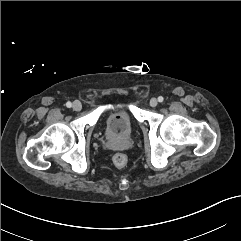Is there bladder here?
Returning a JSON list of instances; mask_svg holds the SVG:
<instances>
[{"label": "bladder", "instance_id": "bladder-1", "mask_svg": "<svg viewBox=\"0 0 241 241\" xmlns=\"http://www.w3.org/2000/svg\"><path fill=\"white\" fill-rule=\"evenodd\" d=\"M104 130L109 137H129L135 130L133 116L127 106L110 110L104 119Z\"/></svg>", "mask_w": 241, "mask_h": 241}]
</instances>
